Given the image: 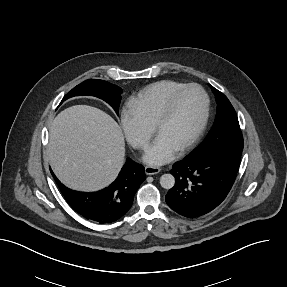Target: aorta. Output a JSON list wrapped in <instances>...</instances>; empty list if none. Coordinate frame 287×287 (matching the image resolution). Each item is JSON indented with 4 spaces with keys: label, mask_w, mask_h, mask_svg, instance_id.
<instances>
[{
    "label": "aorta",
    "mask_w": 287,
    "mask_h": 287,
    "mask_svg": "<svg viewBox=\"0 0 287 287\" xmlns=\"http://www.w3.org/2000/svg\"><path fill=\"white\" fill-rule=\"evenodd\" d=\"M160 185L164 189H171L175 185V178L172 174H163L160 177Z\"/></svg>",
    "instance_id": "obj_1"
}]
</instances>
